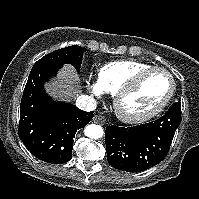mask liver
<instances>
[{"label": "liver", "instance_id": "liver-1", "mask_svg": "<svg viewBox=\"0 0 199 199\" xmlns=\"http://www.w3.org/2000/svg\"><path fill=\"white\" fill-rule=\"evenodd\" d=\"M79 76L71 65H65L57 79L47 85V92L54 98H74L80 94Z\"/></svg>", "mask_w": 199, "mask_h": 199}]
</instances>
